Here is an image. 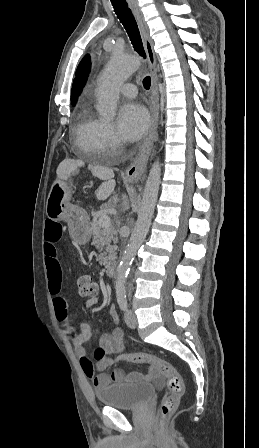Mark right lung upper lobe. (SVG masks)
<instances>
[{
  "instance_id": "obj_1",
  "label": "right lung upper lobe",
  "mask_w": 259,
  "mask_h": 448,
  "mask_svg": "<svg viewBox=\"0 0 259 448\" xmlns=\"http://www.w3.org/2000/svg\"><path fill=\"white\" fill-rule=\"evenodd\" d=\"M90 67H91L90 57L89 55H86L78 65V68L76 70V76L73 81L71 91V102L73 105L77 101L78 96L80 95L82 88L84 87L87 81L88 73L90 72Z\"/></svg>"
}]
</instances>
